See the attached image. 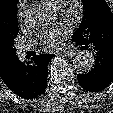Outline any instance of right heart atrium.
Here are the masks:
<instances>
[{"instance_id": "d8ad5b80", "label": "right heart atrium", "mask_w": 113, "mask_h": 113, "mask_svg": "<svg viewBox=\"0 0 113 113\" xmlns=\"http://www.w3.org/2000/svg\"><path fill=\"white\" fill-rule=\"evenodd\" d=\"M27 16V3L26 0H21L17 8V17L20 23H24Z\"/></svg>"}]
</instances>
